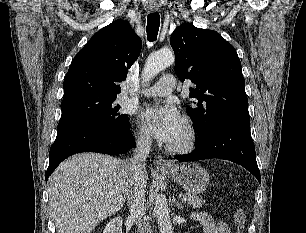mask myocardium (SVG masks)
Returning <instances> with one entry per match:
<instances>
[{
  "label": "myocardium",
  "mask_w": 306,
  "mask_h": 233,
  "mask_svg": "<svg viewBox=\"0 0 306 233\" xmlns=\"http://www.w3.org/2000/svg\"><path fill=\"white\" fill-rule=\"evenodd\" d=\"M184 124L187 130V138L184 142L178 145H166V150L175 154H184L193 151L197 145L198 133L193 121L185 117Z\"/></svg>",
  "instance_id": "myocardium-1"
}]
</instances>
